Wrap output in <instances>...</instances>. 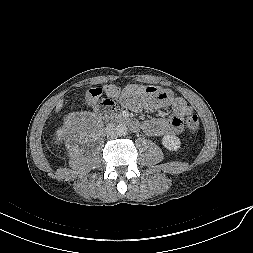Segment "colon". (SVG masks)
Here are the masks:
<instances>
[{
  "mask_svg": "<svg viewBox=\"0 0 253 253\" xmlns=\"http://www.w3.org/2000/svg\"><path fill=\"white\" fill-rule=\"evenodd\" d=\"M161 90L162 88L158 86H143L133 84L121 89L115 85H108L104 88L94 87L89 89L86 92L85 97L87 101L95 103L99 101L103 94L108 96L110 99L118 100L141 97L145 95H160ZM186 126L192 132L197 131L199 129V119L197 115H189L186 119Z\"/></svg>",
  "mask_w": 253,
  "mask_h": 253,
  "instance_id": "1",
  "label": "colon"
}]
</instances>
